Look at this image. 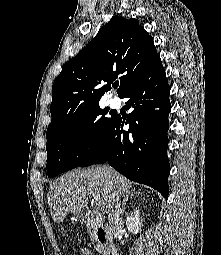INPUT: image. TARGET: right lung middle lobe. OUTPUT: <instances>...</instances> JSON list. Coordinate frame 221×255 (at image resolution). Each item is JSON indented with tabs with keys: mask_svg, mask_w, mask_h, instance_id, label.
<instances>
[{
	"mask_svg": "<svg viewBox=\"0 0 221 255\" xmlns=\"http://www.w3.org/2000/svg\"><path fill=\"white\" fill-rule=\"evenodd\" d=\"M107 110L99 103L68 116L47 132V172L50 178L78 167L94 150L115 116L106 117Z\"/></svg>",
	"mask_w": 221,
	"mask_h": 255,
	"instance_id": "right-lung-middle-lobe-1",
	"label": "right lung middle lobe"
}]
</instances>
